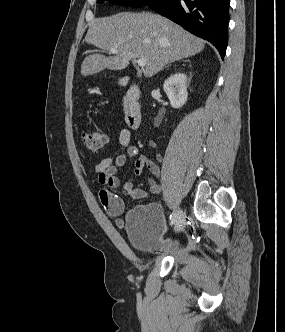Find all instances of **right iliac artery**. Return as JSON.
<instances>
[{
    "label": "right iliac artery",
    "mask_w": 285,
    "mask_h": 332,
    "mask_svg": "<svg viewBox=\"0 0 285 332\" xmlns=\"http://www.w3.org/2000/svg\"><path fill=\"white\" fill-rule=\"evenodd\" d=\"M175 220H176V214L173 212V213L170 215V225L175 224Z\"/></svg>",
    "instance_id": "right-iliac-artery-1"
}]
</instances>
